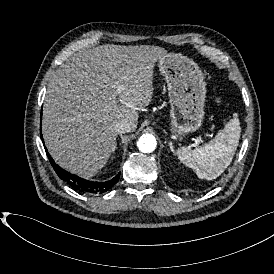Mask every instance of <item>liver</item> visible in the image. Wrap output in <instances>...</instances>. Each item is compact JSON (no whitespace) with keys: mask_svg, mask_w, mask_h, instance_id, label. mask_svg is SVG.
<instances>
[{"mask_svg":"<svg viewBox=\"0 0 274 274\" xmlns=\"http://www.w3.org/2000/svg\"><path fill=\"white\" fill-rule=\"evenodd\" d=\"M170 55L158 46L102 45L79 52L55 73L44 100L43 135L62 167L90 179L116 146L117 121L137 124L154 96L156 64Z\"/></svg>","mask_w":274,"mask_h":274,"instance_id":"obj_1","label":"liver"}]
</instances>
